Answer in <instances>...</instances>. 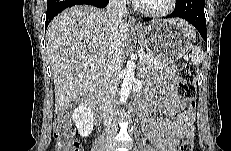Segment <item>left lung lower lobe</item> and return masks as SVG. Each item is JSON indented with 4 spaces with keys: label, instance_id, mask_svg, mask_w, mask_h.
<instances>
[{
    "label": "left lung lower lobe",
    "instance_id": "obj_1",
    "mask_svg": "<svg viewBox=\"0 0 231 151\" xmlns=\"http://www.w3.org/2000/svg\"><path fill=\"white\" fill-rule=\"evenodd\" d=\"M205 0H182L175 11L166 18L179 17L191 23L207 42L206 19L204 14ZM150 18H144L148 21Z\"/></svg>",
    "mask_w": 231,
    "mask_h": 151
}]
</instances>
